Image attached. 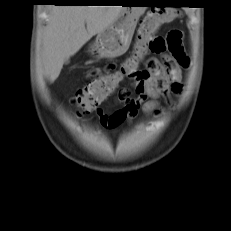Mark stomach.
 Masks as SVG:
<instances>
[{"label":"stomach","instance_id":"obj_1","mask_svg":"<svg viewBox=\"0 0 231 231\" xmlns=\"http://www.w3.org/2000/svg\"><path fill=\"white\" fill-rule=\"evenodd\" d=\"M141 4L140 1H132ZM146 7H123L117 19L97 34L91 53L102 58H116L129 48L137 22Z\"/></svg>","mask_w":231,"mask_h":231}]
</instances>
